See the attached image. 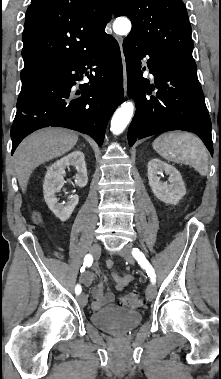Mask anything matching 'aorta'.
<instances>
[{
	"label": "aorta",
	"instance_id": "obj_1",
	"mask_svg": "<svg viewBox=\"0 0 221 379\" xmlns=\"http://www.w3.org/2000/svg\"><path fill=\"white\" fill-rule=\"evenodd\" d=\"M113 30L118 35H126L131 30V22L125 18H117L113 23ZM134 112V104L131 101L124 102L114 113L110 130L114 135L121 134L129 121L131 120Z\"/></svg>",
	"mask_w": 221,
	"mask_h": 379
}]
</instances>
